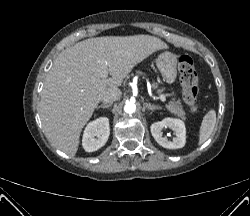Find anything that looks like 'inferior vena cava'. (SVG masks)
<instances>
[{
  "instance_id": "602c4592",
  "label": "inferior vena cava",
  "mask_w": 250,
  "mask_h": 216,
  "mask_svg": "<svg viewBox=\"0 0 250 216\" xmlns=\"http://www.w3.org/2000/svg\"><path fill=\"white\" fill-rule=\"evenodd\" d=\"M122 92L118 88H109L104 91L101 95V101L105 103H113L118 100L121 96Z\"/></svg>"
}]
</instances>
